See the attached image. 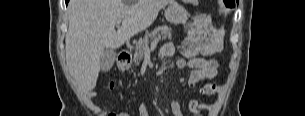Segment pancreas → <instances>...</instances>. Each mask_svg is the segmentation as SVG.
<instances>
[{
	"label": "pancreas",
	"mask_w": 305,
	"mask_h": 116,
	"mask_svg": "<svg viewBox=\"0 0 305 116\" xmlns=\"http://www.w3.org/2000/svg\"><path fill=\"white\" fill-rule=\"evenodd\" d=\"M172 32L168 26H159L156 27L150 33H147L143 39H140L136 43L135 53H134V63L139 65L140 61L143 59L145 54V49L148 48L149 44L152 43L155 39H171Z\"/></svg>",
	"instance_id": "cf45deb5"
}]
</instances>
